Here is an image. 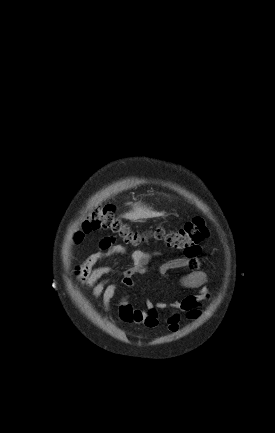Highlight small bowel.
<instances>
[{"label": "small bowel", "instance_id": "c3829d8e", "mask_svg": "<svg viewBox=\"0 0 275 433\" xmlns=\"http://www.w3.org/2000/svg\"><path fill=\"white\" fill-rule=\"evenodd\" d=\"M200 248L194 256L176 257L168 260L160 266L162 274L173 270H187L181 278L180 284L184 288L195 290L180 301L174 303H153L148 301L145 308H137L121 298L118 303V314L122 322L126 324H140L147 328H156L159 323V311L170 310L166 319L167 327L171 332L179 328L181 313L187 318L194 319L198 316L199 306L210 298L207 284V274L201 268L202 264L198 258ZM128 254L132 265L126 269L119 270L112 265L97 264L108 257ZM156 255L143 249H135L128 252L125 247L114 244L110 237L104 238L100 243V250L90 254L85 261L77 267L75 273L79 281L91 291L96 299H100L105 311H110L111 302L116 296L118 285L113 278H103L107 274H117L121 285L131 287L134 284L133 277L138 274L148 273L149 263Z\"/></svg>", "mask_w": 275, "mask_h": 433}]
</instances>
